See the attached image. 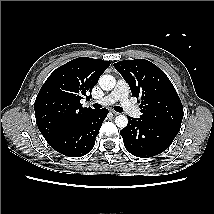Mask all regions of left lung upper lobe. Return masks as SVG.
<instances>
[{
    "label": "left lung upper lobe",
    "instance_id": "left-lung-upper-lobe-1",
    "mask_svg": "<svg viewBox=\"0 0 214 214\" xmlns=\"http://www.w3.org/2000/svg\"><path fill=\"white\" fill-rule=\"evenodd\" d=\"M114 67L129 84L132 96L141 101V120L180 130L183 106L160 68L145 59L119 61Z\"/></svg>",
    "mask_w": 214,
    "mask_h": 214
}]
</instances>
